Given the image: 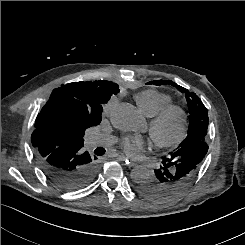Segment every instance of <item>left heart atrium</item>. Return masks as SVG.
<instances>
[{
    "label": "left heart atrium",
    "instance_id": "39dd6f15",
    "mask_svg": "<svg viewBox=\"0 0 245 245\" xmlns=\"http://www.w3.org/2000/svg\"><path fill=\"white\" fill-rule=\"evenodd\" d=\"M121 145L124 152L133 158H140L150 148L148 141L141 136L126 137Z\"/></svg>",
    "mask_w": 245,
    "mask_h": 245
}]
</instances>
